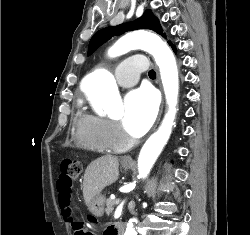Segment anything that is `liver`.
<instances>
[{
  "label": "liver",
  "mask_w": 250,
  "mask_h": 235,
  "mask_svg": "<svg viewBox=\"0 0 250 235\" xmlns=\"http://www.w3.org/2000/svg\"><path fill=\"white\" fill-rule=\"evenodd\" d=\"M119 160L115 156H103L91 162L85 170L83 197L89 207L91 200L102 190L117 181Z\"/></svg>",
  "instance_id": "1"
}]
</instances>
